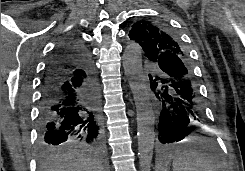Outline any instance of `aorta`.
Instances as JSON below:
<instances>
[{
  "label": "aorta",
  "instance_id": "762f6f07",
  "mask_svg": "<svg viewBox=\"0 0 245 171\" xmlns=\"http://www.w3.org/2000/svg\"><path fill=\"white\" fill-rule=\"evenodd\" d=\"M123 67L137 106L140 171H150L155 140V116L150 102L147 79L142 67V49L138 44L127 45L123 54Z\"/></svg>",
  "mask_w": 245,
  "mask_h": 171
}]
</instances>
